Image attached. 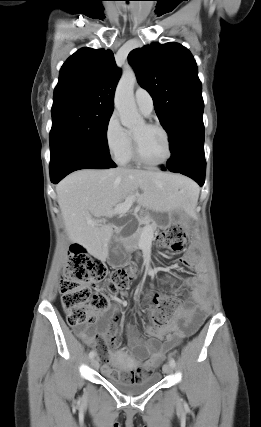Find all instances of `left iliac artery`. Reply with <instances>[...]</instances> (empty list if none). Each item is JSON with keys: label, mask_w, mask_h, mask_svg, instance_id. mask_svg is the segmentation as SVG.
Segmentation results:
<instances>
[{"label": "left iliac artery", "mask_w": 261, "mask_h": 427, "mask_svg": "<svg viewBox=\"0 0 261 427\" xmlns=\"http://www.w3.org/2000/svg\"><path fill=\"white\" fill-rule=\"evenodd\" d=\"M169 363L173 368L176 366V362L173 358L170 359Z\"/></svg>", "instance_id": "obj_1"}]
</instances>
